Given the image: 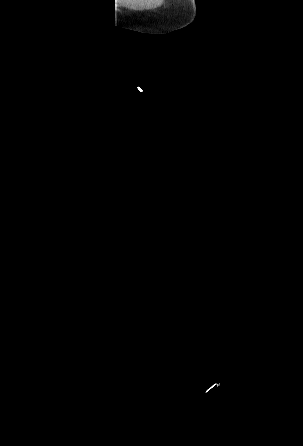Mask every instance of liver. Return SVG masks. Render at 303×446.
I'll return each mask as SVG.
<instances>
[{
  "label": "liver",
  "instance_id": "6515ba94",
  "mask_svg": "<svg viewBox=\"0 0 303 446\" xmlns=\"http://www.w3.org/2000/svg\"><path fill=\"white\" fill-rule=\"evenodd\" d=\"M151 1H152V0H144L143 3H144L145 5H146V4L149 5ZM131 2H133V4H135V3H134L135 1L131 0ZM129 3H130V1H129Z\"/></svg>",
  "mask_w": 303,
  "mask_h": 446
}]
</instances>
